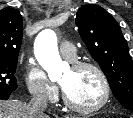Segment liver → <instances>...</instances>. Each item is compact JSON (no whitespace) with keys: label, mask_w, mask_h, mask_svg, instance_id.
Listing matches in <instances>:
<instances>
[{"label":"liver","mask_w":133,"mask_h":118,"mask_svg":"<svg viewBox=\"0 0 133 118\" xmlns=\"http://www.w3.org/2000/svg\"><path fill=\"white\" fill-rule=\"evenodd\" d=\"M0 118H30L29 107L17 100H0Z\"/></svg>","instance_id":"obj_1"}]
</instances>
